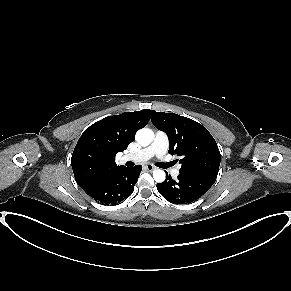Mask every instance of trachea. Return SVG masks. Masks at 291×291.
<instances>
[{
    "instance_id": "3493384b",
    "label": "trachea",
    "mask_w": 291,
    "mask_h": 291,
    "mask_svg": "<svg viewBox=\"0 0 291 291\" xmlns=\"http://www.w3.org/2000/svg\"><path fill=\"white\" fill-rule=\"evenodd\" d=\"M172 165V163H156V166L160 168H168Z\"/></svg>"
}]
</instances>
